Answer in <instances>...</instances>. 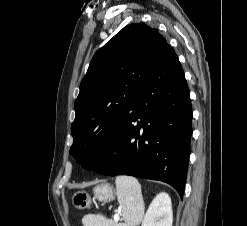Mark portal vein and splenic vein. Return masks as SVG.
Wrapping results in <instances>:
<instances>
[{
    "mask_svg": "<svg viewBox=\"0 0 247 226\" xmlns=\"http://www.w3.org/2000/svg\"><path fill=\"white\" fill-rule=\"evenodd\" d=\"M119 219H120V215H119L118 213L115 214V215H114V218H113L114 222H118Z\"/></svg>",
    "mask_w": 247,
    "mask_h": 226,
    "instance_id": "portal-vein-and-splenic-vein-1",
    "label": "portal vein and splenic vein"
}]
</instances>
